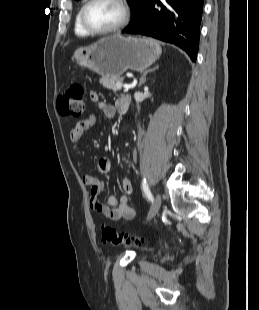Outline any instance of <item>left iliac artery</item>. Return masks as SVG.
<instances>
[{
    "label": "left iliac artery",
    "mask_w": 259,
    "mask_h": 310,
    "mask_svg": "<svg viewBox=\"0 0 259 310\" xmlns=\"http://www.w3.org/2000/svg\"><path fill=\"white\" fill-rule=\"evenodd\" d=\"M142 188H143V191H144V194L147 196V198L151 201V202H153V196H152V194H151V191H150V189H149V187H148V184H147V182H146V179H144L143 181H142Z\"/></svg>",
    "instance_id": "left-iliac-artery-1"
}]
</instances>
